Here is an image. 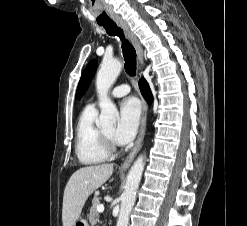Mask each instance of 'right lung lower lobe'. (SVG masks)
<instances>
[{"instance_id":"right-lung-lower-lobe-1","label":"right lung lower lobe","mask_w":247,"mask_h":226,"mask_svg":"<svg viewBox=\"0 0 247 226\" xmlns=\"http://www.w3.org/2000/svg\"><path fill=\"white\" fill-rule=\"evenodd\" d=\"M139 87L140 90L142 92V95L144 96V98L151 103L152 102V93L150 90V87L148 85V83L146 82V80L144 78H142L139 82Z\"/></svg>"}]
</instances>
